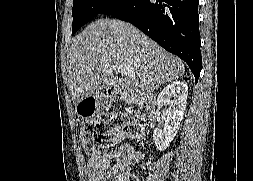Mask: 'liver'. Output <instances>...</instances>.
<instances>
[{"label": "liver", "mask_w": 253, "mask_h": 181, "mask_svg": "<svg viewBox=\"0 0 253 181\" xmlns=\"http://www.w3.org/2000/svg\"><path fill=\"white\" fill-rule=\"evenodd\" d=\"M68 64L69 91L75 105L104 89H112L125 98L150 94L185 72L178 57L136 27L107 18L94 21L72 40ZM120 65L132 66L134 75L116 78Z\"/></svg>", "instance_id": "liver-1"}]
</instances>
